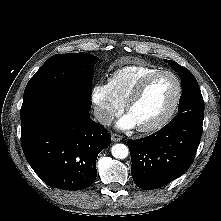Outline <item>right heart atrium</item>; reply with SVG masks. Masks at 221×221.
I'll list each match as a JSON object with an SVG mask.
<instances>
[{
    "label": "right heart atrium",
    "instance_id": "d8ad5b80",
    "mask_svg": "<svg viewBox=\"0 0 221 221\" xmlns=\"http://www.w3.org/2000/svg\"><path fill=\"white\" fill-rule=\"evenodd\" d=\"M90 99L94 116L102 125H108L123 109V105L114 98L109 86L104 83H97L92 86Z\"/></svg>",
    "mask_w": 221,
    "mask_h": 221
}]
</instances>
